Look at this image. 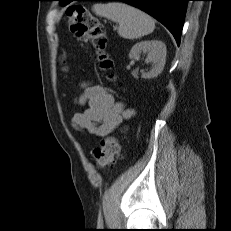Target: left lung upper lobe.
<instances>
[{"label": "left lung upper lobe", "mask_w": 231, "mask_h": 231, "mask_svg": "<svg viewBox=\"0 0 231 231\" xmlns=\"http://www.w3.org/2000/svg\"><path fill=\"white\" fill-rule=\"evenodd\" d=\"M57 1H60V3L62 4V2H63L64 0H57Z\"/></svg>", "instance_id": "5c2ea615"}]
</instances>
